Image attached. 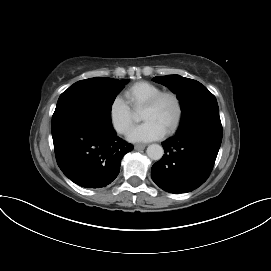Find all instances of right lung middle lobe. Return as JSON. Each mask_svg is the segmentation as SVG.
Listing matches in <instances>:
<instances>
[{"label":"right lung middle lobe","mask_w":271,"mask_h":271,"mask_svg":"<svg viewBox=\"0 0 271 271\" xmlns=\"http://www.w3.org/2000/svg\"><path fill=\"white\" fill-rule=\"evenodd\" d=\"M123 87L120 80L103 77L74 83L58 99L52 117V131L90 118H101L111 124V106Z\"/></svg>","instance_id":"right-lung-middle-lobe-1"}]
</instances>
